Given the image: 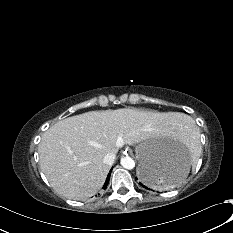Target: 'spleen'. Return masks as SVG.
<instances>
[{"label":"spleen","instance_id":"1","mask_svg":"<svg viewBox=\"0 0 233 233\" xmlns=\"http://www.w3.org/2000/svg\"><path fill=\"white\" fill-rule=\"evenodd\" d=\"M180 119L181 126L176 132L182 141L178 144V149L182 153H186V158L190 162H195L199 158V131L194 122L189 117L186 116L184 120L182 118ZM186 176L184 178H180L179 181L170 185L169 188L176 187V185L181 183L186 178Z\"/></svg>","mask_w":233,"mask_h":233}]
</instances>
